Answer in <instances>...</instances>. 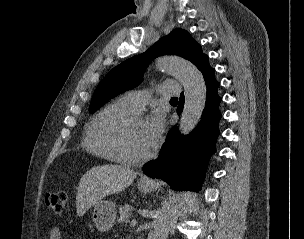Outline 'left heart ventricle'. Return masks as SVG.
Returning a JSON list of instances; mask_svg holds the SVG:
<instances>
[{"label": "left heart ventricle", "mask_w": 304, "mask_h": 239, "mask_svg": "<svg viewBox=\"0 0 304 239\" xmlns=\"http://www.w3.org/2000/svg\"><path fill=\"white\" fill-rule=\"evenodd\" d=\"M144 124L143 121H135L125 133L123 149L127 155L141 156L150 151L144 135Z\"/></svg>", "instance_id": "b2bd125f"}]
</instances>
